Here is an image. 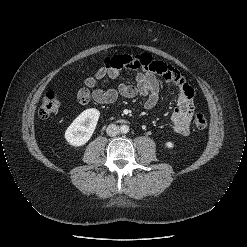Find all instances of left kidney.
<instances>
[{
  "instance_id": "1",
  "label": "left kidney",
  "mask_w": 247,
  "mask_h": 247,
  "mask_svg": "<svg viewBox=\"0 0 247 247\" xmlns=\"http://www.w3.org/2000/svg\"><path fill=\"white\" fill-rule=\"evenodd\" d=\"M165 146L169 149L173 148L174 147V144L171 142V141H168L165 143Z\"/></svg>"
}]
</instances>
